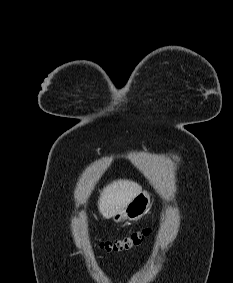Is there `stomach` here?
Here are the masks:
<instances>
[{
	"label": "stomach",
	"instance_id": "stomach-1",
	"mask_svg": "<svg viewBox=\"0 0 233 283\" xmlns=\"http://www.w3.org/2000/svg\"><path fill=\"white\" fill-rule=\"evenodd\" d=\"M150 206V194L146 191L140 192L123 210L112 217L113 221L119 223L123 220H138L148 211Z\"/></svg>",
	"mask_w": 233,
	"mask_h": 283
}]
</instances>
